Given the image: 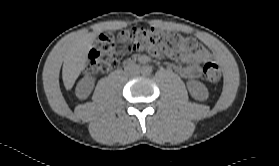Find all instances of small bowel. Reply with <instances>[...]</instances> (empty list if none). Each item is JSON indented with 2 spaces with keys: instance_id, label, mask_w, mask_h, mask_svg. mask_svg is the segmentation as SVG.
I'll return each mask as SVG.
<instances>
[{
  "instance_id": "small-bowel-1",
  "label": "small bowel",
  "mask_w": 279,
  "mask_h": 166,
  "mask_svg": "<svg viewBox=\"0 0 279 166\" xmlns=\"http://www.w3.org/2000/svg\"><path fill=\"white\" fill-rule=\"evenodd\" d=\"M210 57L211 55L206 49L199 48L193 54L184 56V65L177 66L176 70L184 78H195L199 74L200 64L210 59Z\"/></svg>"
}]
</instances>
